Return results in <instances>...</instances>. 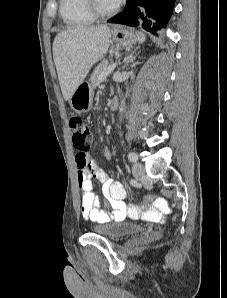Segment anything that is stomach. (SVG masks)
Masks as SVG:
<instances>
[{
	"instance_id": "0dacf381",
	"label": "stomach",
	"mask_w": 227,
	"mask_h": 298,
	"mask_svg": "<svg viewBox=\"0 0 227 298\" xmlns=\"http://www.w3.org/2000/svg\"><path fill=\"white\" fill-rule=\"evenodd\" d=\"M111 37L117 45L124 48L131 47L138 41V33L123 27L113 29ZM93 96L92 85L87 81H83L70 97V106L76 113H86L92 108Z\"/></svg>"
}]
</instances>
